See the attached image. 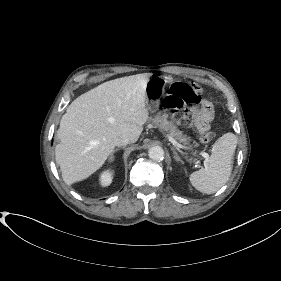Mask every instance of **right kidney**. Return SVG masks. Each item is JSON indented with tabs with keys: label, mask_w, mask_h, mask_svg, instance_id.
I'll return each mask as SVG.
<instances>
[{
	"label": "right kidney",
	"mask_w": 281,
	"mask_h": 281,
	"mask_svg": "<svg viewBox=\"0 0 281 281\" xmlns=\"http://www.w3.org/2000/svg\"><path fill=\"white\" fill-rule=\"evenodd\" d=\"M113 179V173L110 171H104L101 175H100V183L102 186H108L111 184Z\"/></svg>",
	"instance_id": "1"
}]
</instances>
